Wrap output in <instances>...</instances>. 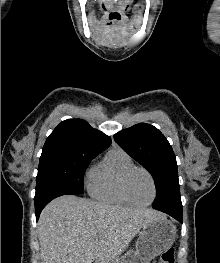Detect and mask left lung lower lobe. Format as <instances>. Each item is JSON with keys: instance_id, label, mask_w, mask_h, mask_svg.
Returning a JSON list of instances; mask_svg holds the SVG:
<instances>
[{"instance_id": "0a47b994", "label": "left lung lower lobe", "mask_w": 220, "mask_h": 263, "mask_svg": "<svg viewBox=\"0 0 220 263\" xmlns=\"http://www.w3.org/2000/svg\"><path fill=\"white\" fill-rule=\"evenodd\" d=\"M162 212H165V213L169 214L170 216L174 217L175 219H177L178 221H180L182 223V211L165 210V211H162Z\"/></svg>"}]
</instances>
